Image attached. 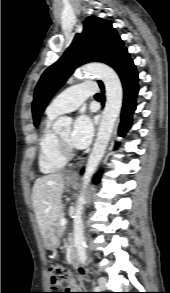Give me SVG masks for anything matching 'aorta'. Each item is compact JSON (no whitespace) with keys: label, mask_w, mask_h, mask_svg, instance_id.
I'll return each instance as SVG.
<instances>
[{"label":"aorta","mask_w":170,"mask_h":293,"mask_svg":"<svg viewBox=\"0 0 170 293\" xmlns=\"http://www.w3.org/2000/svg\"><path fill=\"white\" fill-rule=\"evenodd\" d=\"M75 76L78 78L94 76L104 83L106 90L105 108L92 152L86 164L85 172L82 178V191L78 196L73 220L74 243L76 246L78 258L82 264H85L87 261V256L85 251L84 223L81 218L84 209L85 191L92 179L95 170L97 169L99 162L105 154L106 148L112 136L115 123L119 117L122 107L123 89L117 73L110 66L103 63L87 64L78 70ZM70 124V118L60 117L55 122L54 128L56 130H60L65 126H69Z\"/></svg>","instance_id":"aorta-1"}]
</instances>
